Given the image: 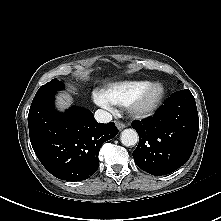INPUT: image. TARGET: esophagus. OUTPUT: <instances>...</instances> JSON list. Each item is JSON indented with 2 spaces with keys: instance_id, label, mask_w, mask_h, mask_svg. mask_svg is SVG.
<instances>
[{
  "instance_id": "1",
  "label": "esophagus",
  "mask_w": 221,
  "mask_h": 221,
  "mask_svg": "<svg viewBox=\"0 0 221 221\" xmlns=\"http://www.w3.org/2000/svg\"><path fill=\"white\" fill-rule=\"evenodd\" d=\"M115 124H116V127L118 128V130H120V131L126 127V125L124 123H121L119 121H116Z\"/></svg>"
}]
</instances>
